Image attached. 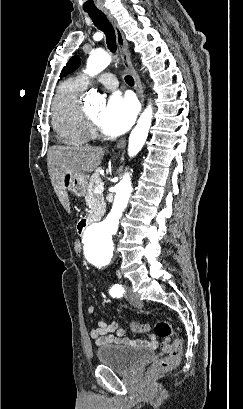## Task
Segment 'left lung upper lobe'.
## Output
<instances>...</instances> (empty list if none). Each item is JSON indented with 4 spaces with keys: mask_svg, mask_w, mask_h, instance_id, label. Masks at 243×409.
Here are the masks:
<instances>
[{
    "mask_svg": "<svg viewBox=\"0 0 243 409\" xmlns=\"http://www.w3.org/2000/svg\"><path fill=\"white\" fill-rule=\"evenodd\" d=\"M80 65V58L78 56L72 57L66 66L63 68L60 77L65 76L68 73H71Z\"/></svg>",
    "mask_w": 243,
    "mask_h": 409,
    "instance_id": "obj_1",
    "label": "left lung upper lobe"
}]
</instances>
